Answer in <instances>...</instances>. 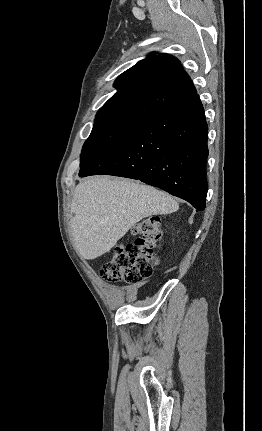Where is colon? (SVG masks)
Returning a JSON list of instances; mask_svg holds the SVG:
<instances>
[{
    "label": "colon",
    "mask_w": 262,
    "mask_h": 431,
    "mask_svg": "<svg viewBox=\"0 0 262 431\" xmlns=\"http://www.w3.org/2000/svg\"><path fill=\"white\" fill-rule=\"evenodd\" d=\"M162 236L160 218L143 220L132 243L117 247L111 259L102 266L100 276L110 282L136 283L149 278L158 264L157 248Z\"/></svg>",
    "instance_id": "5ec220e1"
}]
</instances>
